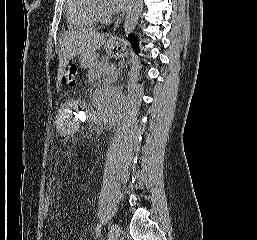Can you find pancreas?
<instances>
[{
  "instance_id": "obj_1",
  "label": "pancreas",
  "mask_w": 257,
  "mask_h": 240,
  "mask_svg": "<svg viewBox=\"0 0 257 240\" xmlns=\"http://www.w3.org/2000/svg\"><path fill=\"white\" fill-rule=\"evenodd\" d=\"M110 79L109 64L105 60L95 62L88 72V82L93 83L100 79Z\"/></svg>"
}]
</instances>
